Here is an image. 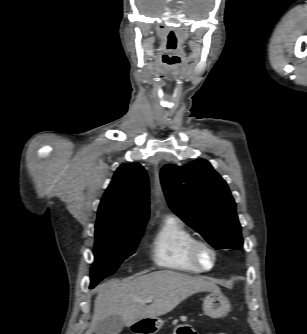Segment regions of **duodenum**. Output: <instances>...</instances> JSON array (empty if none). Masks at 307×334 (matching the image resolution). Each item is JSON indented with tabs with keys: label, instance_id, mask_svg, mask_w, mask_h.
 Returning a JSON list of instances; mask_svg holds the SVG:
<instances>
[{
	"label": "duodenum",
	"instance_id": "410a0bca",
	"mask_svg": "<svg viewBox=\"0 0 307 334\" xmlns=\"http://www.w3.org/2000/svg\"><path fill=\"white\" fill-rule=\"evenodd\" d=\"M137 333L140 334H147V333H151L152 331L148 330V329H137L135 330Z\"/></svg>",
	"mask_w": 307,
	"mask_h": 334
}]
</instances>
